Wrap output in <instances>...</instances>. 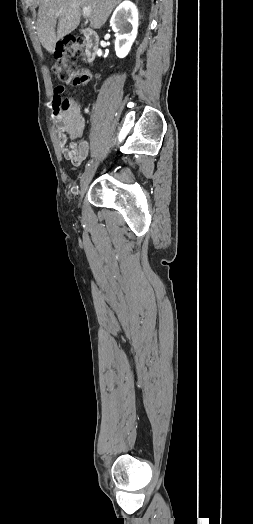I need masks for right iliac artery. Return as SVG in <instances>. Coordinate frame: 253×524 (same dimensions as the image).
Returning <instances> with one entry per match:
<instances>
[{
  "mask_svg": "<svg viewBox=\"0 0 253 524\" xmlns=\"http://www.w3.org/2000/svg\"><path fill=\"white\" fill-rule=\"evenodd\" d=\"M92 160H89L85 166V171L91 166Z\"/></svg>",
  "mask_w": 253,
  "mask_h": 524,
  "instance_id": "obj_1",
  "label": "right iliac artery"
}]
</instances>
